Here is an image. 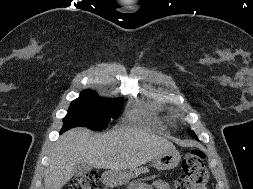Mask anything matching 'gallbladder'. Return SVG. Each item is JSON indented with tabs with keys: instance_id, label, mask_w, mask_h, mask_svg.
Here are the masks:
<instances>
[{
	"instance_id": "1",
	"label": "gallbladder",
	"mask_w": 253,
	"mask_h": 189,
	"mask_svg": "<svg viewBox=\"0 0 253 189\" xmlns=\"http://www.w3.org/2000/svg\"><path fill=\"white\" fill-rule=\"evenodd\" d=\"M92 167L85 163H77L73 168V175L74 176H82L83 174L89 172Z\"/></svg>"
}]
</instances>
